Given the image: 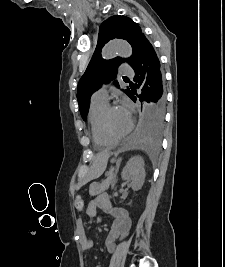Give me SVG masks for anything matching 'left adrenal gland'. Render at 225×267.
<instances>
[{
	"instance_id": "1",
	"label": "left adrenal gland",
	"mask_w": 225,
	"mask_h": 267,
	"mask_svg": "<svg viewBox=\"0 0 225 267\" xmlns=\"http://www.w3.org/2000/svg\"><path fill=\"white\" fill-rule=\"evenodd\" d=\"M120 163H121V160H118V161L116 162L115 177H116V175H117V173H118Z\"/></svg>"
}]
</instances>
